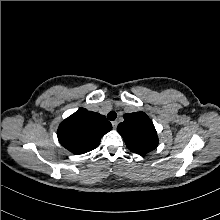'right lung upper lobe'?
<instances>
[{"mask_svg": "<svg viewBox=\"0 0 220 220\" xmlns=\"http://www.w3.org/2000/svg\"><path fill=\"white\" fill-rule=\"evenodd\" d=\"M111 129L105 116L80 108L59 125L57 136L63 147L78 155L97 148Z\"/></svg>", "mask_w": 220, "mask_h": 220, "instance_id": "1", "label": "right lung upper lobe"}]
</instances>
